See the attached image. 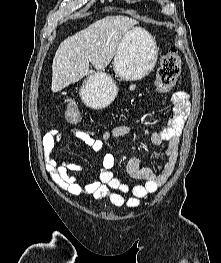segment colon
Here are the masks:
<instances>
[{
	"mask_svg": "<svg viewBox=\"0 0 221 263\" xmlns=\"http://www.w3.org/2000/svg\"><path fill=\"white\" fill-rule=\"evenodd\" d=\"M180 69L181 59L178 50L171 48L162 57L157 74L156 86L160 93L168 92L174 86ZM64 114L69 123L76 124L81 121L80 111L70 98H65Z\"/></svg>",
	"mask_w": 221,
	"mask_h": 263,
	"instance_id": "obj_1",
	"label": "colon"
}]
</instances>
